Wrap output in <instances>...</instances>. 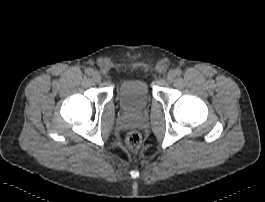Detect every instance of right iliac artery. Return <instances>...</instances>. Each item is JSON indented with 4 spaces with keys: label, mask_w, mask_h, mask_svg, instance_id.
<instances>
[{
    "label": "right iliac artery",
    "mask_w": 265,
    "mask_h": 202,
    "mask_svg": "<svg viewBox=\"0 0 265 202\" xmlns=\"http://www.w3.org/2000/svg\"><path fill=\"white\" fill-rule=\"evenodd\" d=\"M85 73H86L87 75H92V73H93V69H91V68H87V69L85 70Z\"/></svg>",
    "instance_id": "obj_1"
}]
</instances>
